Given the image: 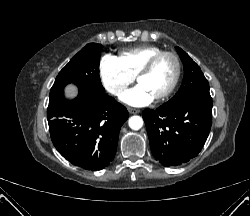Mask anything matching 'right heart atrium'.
<instances>
[{"mask_svg": "<svg viewBox=\"0 0 250 216\" xmlns=\"http://www.w3.org/2000/svg\"><path fill=\"white\" fill-rule=\"evenodd\" d=\"M99 74L104 88L113 96H121L134 82L131 75L113 55L107 54L101 58Z\"/></svg>", "mask_w": 250, "mask_h": 216, "instance_id": "obj_1", "label": "right heart atrium"}]
</instances>
